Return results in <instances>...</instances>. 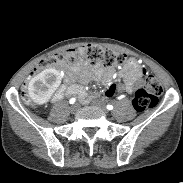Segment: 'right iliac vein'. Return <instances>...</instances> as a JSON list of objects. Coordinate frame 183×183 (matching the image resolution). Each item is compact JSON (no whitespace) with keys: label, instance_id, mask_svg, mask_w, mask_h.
I'll use <instances>...</instances> for the list:
<instances>
[{"label":"right iliac vein","instance_id":"1","mask_svg":"<svg viewBox=\"0 0 183 183\" xmlns=\"http://www.w3.org/2000/svg\"><path fill=\"white\" fill-rule=\"evenodd\" d=\"M78 108H79L78 104H74V105L71 106L70 110L72 112H76L78 110Z\"/></svg>","mask_w":183,"mask_h":183}]
</instances>
